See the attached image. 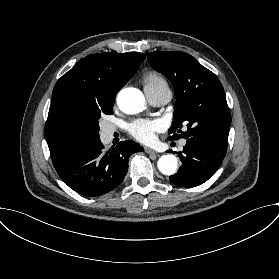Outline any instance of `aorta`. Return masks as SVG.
<instances>
[{"instance_id": "1", "label": "aorta", "mask_w": 279, "mask_h": 279, "mask_svg": "<svg viewBox=\"0 0 279 279\" xmlns=\"http://www.w3.org/2000/svg\"><path fill=\"white\" fill-rule=\"evenodd\" d=\"M119 109L126 114H137L145 109V97L136 88H124L117 96ZM158 170L164 175H174L177 171L178 161L175 155H162L157 162Z\"/></svg>"}]
</instances>
